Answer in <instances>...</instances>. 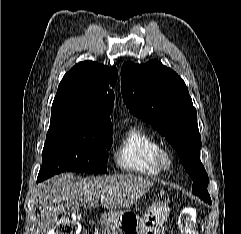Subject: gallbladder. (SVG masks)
I'll use <instances>...</instances> for the list:
<instances>
[{"label":"gallbladder","mask_w":241,"mask_h":234,"mask_svg":"<svg viewBox=\"0 0 241 234\" xmlns=\"http://www.w3.org/2000/svg\"><path fill=\"white\" fill-rule=\"evenodd\" d=\"M77 211V209L76 208H74V212H76Z\"/></svg>","instance_id":"obj_1"}]
</instances>
